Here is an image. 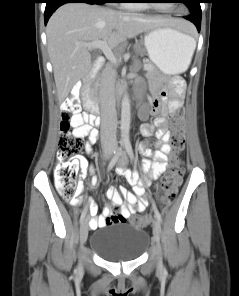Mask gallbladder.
<instances>
[{
    "mask_svg": "<svg viewBox=\"0 0 239 296\" xmlns=\"http://www.w3.org/2000/svg\"><path fill=\"white\" fill-rule=\"evenodd\" d=\"M92 59H95V55H92Z\"/></svg>",
    "mask_w": 239,
    "mask_h": 296,
    "instance_id": "bac80fb5",
    "label": "gallbladder"
}]
</instances>
